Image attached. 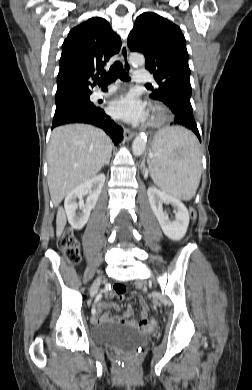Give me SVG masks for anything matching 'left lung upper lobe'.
I'll list each match as a JSON object with an SVG mask.
<instances>
[{
    "mask_svg": "<svg viewBox=\"0 0 252 390\" xmlns=\"http://www.w3.org/2000/svg\"><path fill=\"white\" fill-rule=\"evenodd\" d=\"M131 51L145 56L159 88L150 97L162 102L171 94L191 97L186 41L180 28L155 13L140 14L128 37Z\"/></svg>",
    "mask_w": 252,
    "mask_h": 390,
    "instance_id": "5c2ea615",
    "label": "left lung upper lobe"
}]
</instances>
